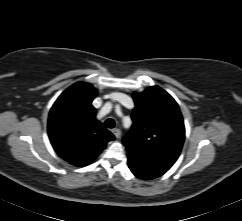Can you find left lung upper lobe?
Masks as SVG:
<instances>
[{"label":"left lung upper lobe","instance_id":"left-lung-upper-lobe-1","mask_svg":"<svg viewBox=\"0 0 242 221\" xmlns=\"http://www.w3.org/2000/svg\"><path fill=\"white\" fill-rule=\"evenodd\" d=\"M133 126L123 137L127 152L172 166L185 138L178 104L165 90L149 87L133 94Z\"/></svg>","mask_w":242,"mask_h":221}]
</instances>
